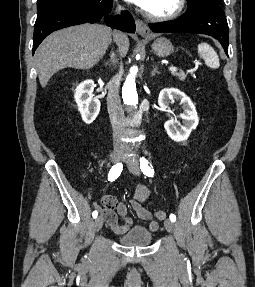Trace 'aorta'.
<instances>
[{"mask_svg":"<svg viewBox=\"0 0 255 287\" xmlns=\"http://www.w3.org/2000/svg\"><path fill=\"white\" fill-rule=\"evenodd\" d=\"M137 72L138 68L135 66L132 67L122 87V97L124 103L133 108H135L138 105V94L136 91V83H135Z\"/></svg>","mask_w":255,"mask_h":287,"instance_id":"1","label":"aorta"}]
</instances>
